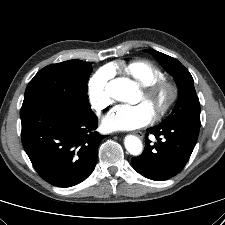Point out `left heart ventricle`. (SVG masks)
Listing matches in <instances>:
<instances>
[{
  "label": "left heart ventricle",
  "mask_w": 225,
  "mask_h": 225,
  "mask_svg": "<svg viewBox=\"0 0 225 225\" xmlns=\"http://www.w3.org/2000/svg\"><path fill=\"white\" fill-rule=\"evenodd\" d=\"M140 101L147 102V103L153 108V105H152L149 101H147V100L144 98L143 93L141 94Z\"/></svg>",
  "instance_id": "1"
}]
</instances>
